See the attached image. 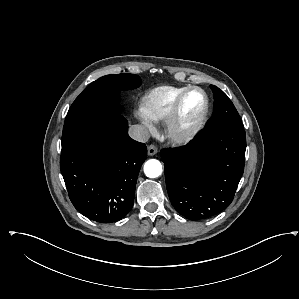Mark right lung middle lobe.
<instances>
[{"label": "right lung middle lobe", "mask_w": 299, "mask_h": 299, "mask_svg": "<svg viewBox=\"0 0 299 299\" xmlns=\"http://www.w3.org/2000/svg\"><path fill=\"white\" fill-rule=\"evenodd\" d=\"M140 85V77L134 74L106 75L91 83L68 111L62 133V148L103 118L119 114V91Z\"/></svg>", "instance_id": "1"}]
</instances>
